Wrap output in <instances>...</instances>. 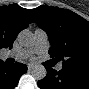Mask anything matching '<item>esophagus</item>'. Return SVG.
Returning <instances> with one entry per match:
<instances>
[{"instance_id": "1", "label": "esophagus", "mask_w": 89, "mask_h": 89, "mask_svg": "<svg viewBox=\"0 0 89 89\" xmlns=\"http://www.w3.org/2000/svg\"><path fill=\"white\" fill-rule=\"evenodd\" d=\"M33 69V66L32 65H28V71H31Z\"/></svg>"}]
</instances>
